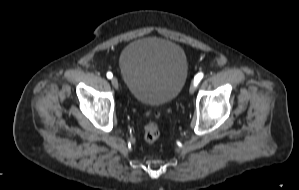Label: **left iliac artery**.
Returning <instances> with one entry per match:
<instances>
[{"label":"left iliac artery","mask_w":299,"mask_h":190,"mask_svg":"<svg viewBox=\"0 0 299 190\" xmlns=\"http://www.w3.org/2000/svg\"><path fill=\"white\" fill-rule=\"evenodd\" d=\"M203 73L200 72L198 73L195 77H194V85L197 86L198 83L201 81V79L203 78Z\"/></svg>","instance_id":"obj_1"}]
</instances>
